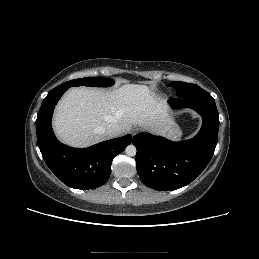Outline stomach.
<instances>
[{
	"instance_id": "obj_1",
	"label": "stomach",
	"mask_w": 259,
	"mask_h": 259,
	"mask_svg": "<svg viewBox=\"0 0 259 259\" xmlns=\"http://www.w3.org/2000/svg\"><path fill=\"white\" fill-rule=\"evenodd\" d=\"M164 135L172 140H178L182 136V131L177 124L171 123Z\"/></svg>"
}]
</instances>
